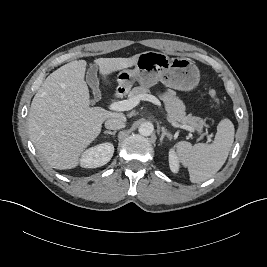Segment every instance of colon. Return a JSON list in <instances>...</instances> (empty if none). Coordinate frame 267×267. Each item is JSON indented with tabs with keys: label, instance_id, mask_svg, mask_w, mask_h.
<instances>
[{
	"label": "colon",
	"instance_id": "obj_1",
	"mask_svg": "<svg viewBox=\"0 0 267 267\" xmlns=\"http://www.w3.org/2000/svg\"><path fill=\"white\" fill-rule=\"evenodd\" d=\"M210 95H211V97H212L213 99H215L216 101H218V99L216 98V93H215L214 90H211V91H210Z\"/></svg>",
	"mask_w": 267,
	"mask_h": 267
}]
</instances>
